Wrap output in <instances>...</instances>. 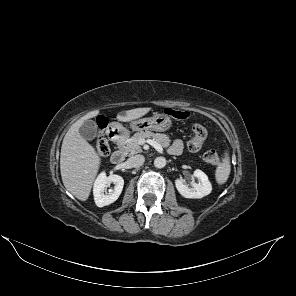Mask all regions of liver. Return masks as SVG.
<instances>
[{
	"instance_id": "liver-1",
	"label": "liver",
	"mask_w": 296,
	"mask_h": 296,
	"mask_svg": "<svg viewBox=\"0 0 296 296\" xmlns=\"http://www.w3.org/2000/svg\"><path fill=\"white\" fill-rule=\"evenodd\" d=\"M151 108H136L118 114L121 122L136 120L150 111ZM99 110L87 113L77 120L66 133L61 147L60 171L65 188L77 199L86 201L90 195L92 184L101 165V158L95 148L79 133L85 120L96 117Z\"/></svg>"
}]
</instances>
